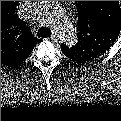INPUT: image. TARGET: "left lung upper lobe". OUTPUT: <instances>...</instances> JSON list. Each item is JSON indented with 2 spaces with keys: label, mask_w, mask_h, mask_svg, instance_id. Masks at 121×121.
I'll use <instances>...</instances> for the list:
<instances>
[{
  "label": "left lung upper lobe",
  "mask_w": 121,
  "mask_h": 121,
  "mask_svg": "<svg viewBox=\"0 0 121 121\" xmlns=\"http://www.w3.org/2000/svg\"><path fill=\"white\" fill-rule=\"evenodd\" d=\"M78 43L68 49L61 45L62 52L101 54L117 39L121 29V10L113 1H78ZM80 51V52H79Z\"/></svg>",
  "instance_id": "left-lung-upper-lobe-1"
}]
</instances>
